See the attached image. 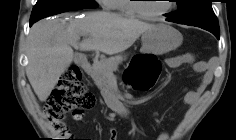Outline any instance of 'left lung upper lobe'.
<instances>
[{
  "label": "left lung upper lobe",
  "mask_w": 236,
  "mask_h": 140,
  "mask_svg": "<svg viewBox=\"0 0 236 140\" xmlns=\"http://www.w3.org/2000/svg\"><path fill=\"white\" fill-rule=\"evenodd\" d=\"M177 11L165 14L171 22L197 26L210 31L216 37L220 35L218 19L212 9V0H175Z\"/></svg>",
  "instance_id": "5c2ea615"
}]
</instances>
